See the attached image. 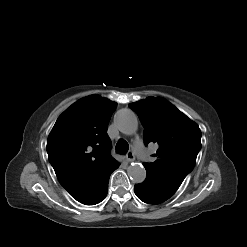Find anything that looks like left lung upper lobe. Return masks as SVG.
I'll return each instance as SVG.
<instances>
[{"label": "left lung upper lobe", "instance_id": "left-lung-upper-lobe-1", "mask_svg": "<svg viewBox=\"0 0 247 247\" xmlns=\"http://www.w3.org/2000/svg\"><path fill=\"white\" fill-rule=\"evenodd\" d=\"M144 127V142L157 143V160L144 163L145 169L165 185L177 191L194 168L201 149V131L197 124L163 98L148 97L129 104Z\"/></svg>", "mask_w": 247, "mask_h": 247}]
</instances>
